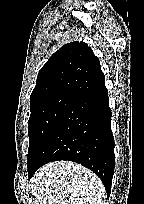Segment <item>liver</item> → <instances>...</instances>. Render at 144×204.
I'll list each match as a JSON object with an SVG mask.
<instances>
[{
    "label": "liver",
    "mask_w": 144,
    "mask_h": 204,
    "mask_svg": "<svg viewBox=\"0 0 144 204\" xmlns=\"http://www.w3.org/2000/svg\"><path fill=\"white\" fill-rule=\"evenodd\" d=\"M34 204H106L101 180L82 165L59 161L41 167L29 181Z\"/></svg>",
    "instance_id": "1"
}]
</instances>
